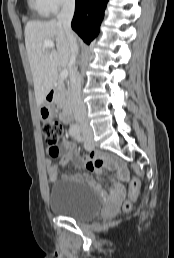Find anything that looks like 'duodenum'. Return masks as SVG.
Returning a JSON list of instances; mask_svg holds the SVG:
<instances>
[{
  "label": "duodenum",
  "instance_id": "duodenum-1",
  "mask_svg": "<svg viewBox=\"0 0 174 258\" xmlns=\"http://www.w3.org/2000/svg\"><path fill=\"white\" fill-rule=\"evenodd\" d=\"M55 93H56V90L52 88L48 91V93L46 95L47 101L51 105L54 103ZM62 120L65 124H69L72 120V110L68 106H65V108H64Z\"/></svg>",
  "mask_w": 174,
  "mask_h": 258
}]
</instances>
